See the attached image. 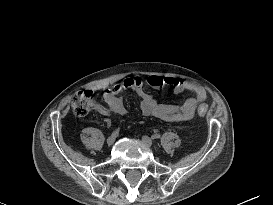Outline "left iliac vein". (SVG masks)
Masks as SVG:
<instances>
[{"label":"left iliac vein","instance_id":"obj_1","mask_svg":"<svg viewBox=\"0 0 273 205\" xmlns=\"http://www.w3.org/2000/svg\"><path fill=\"white\" fill-rule=\"evenodd\" d=\"M142 141L147 145V146H152L153 141L150 137L148 136H143Z\"/></svg>","mask_w":273,"mask_h":205}]
</instances>
